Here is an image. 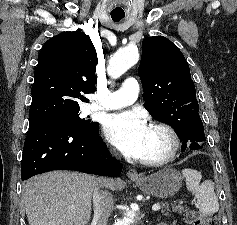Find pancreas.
Masks as SVG:
<instances>
[{
	"mask_svg": "<svg viewBox=\"0 0 237 225\" xmlns=\"http://www.w3.org/2000/svg\"><path fill=\"white\" fill-rule=\"evenodd\" d=\"M163 207L165 208L164 210H162V213L165 215V216H169V208L166 204H162ZM172 211L173 212H178V213H182L184 211V208L183 206H180V205H177V206H173L172 207Z\"/></svg>",
	"mask_w": 237,
	"mask_h": 225,
	"instance_id": "cf45deb5",
	"label": "pancreas"
}]
</instances>
